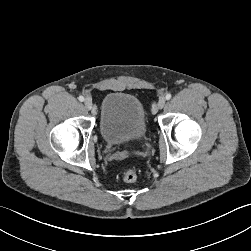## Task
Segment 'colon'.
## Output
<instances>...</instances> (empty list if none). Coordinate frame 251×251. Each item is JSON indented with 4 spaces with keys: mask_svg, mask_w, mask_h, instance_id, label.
Masks as SVG:
<instances>
[{
    "mask_svg": "<svg viewBox=\"0 0 251 251\" xmlns=\"http://www.w3.org/2000/svg\"><path fill=\"white\" fill-rule=\"evenodd\" d=\"M137 172L132 168H126L122 172V178L127 183H133L137 180Z\"/></svg>",
    "mask_w": 251,
    "mask_h": 251,
    "instance_id": "5ec220e1",
    "label": "colon"
}]
</instances>
